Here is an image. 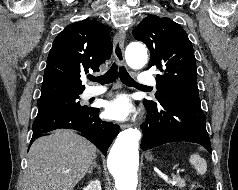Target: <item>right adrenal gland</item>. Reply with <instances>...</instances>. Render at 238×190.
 <instances>
[{
  "instance_id": "obj_1",
  "label": "right adrenal gland",
  "mask_w": 238,
  "mask_h": 190,
  "mask_svg": "<svg viewBox=\"0 0 238 190\" xmlns=\"http://www.w3.org/2000/svg\"><path fill=\"white\" fill-rule=\"evenodd\" d=\"M94 167H95V168H98V169H101L100 166L97 164L96 157H95L93 163L91 164V166H90V168H89V170H88V173H89V174L92 173V170H93Z\"/></svg>"
}]
</instances>
